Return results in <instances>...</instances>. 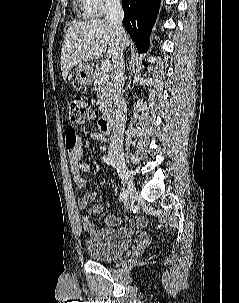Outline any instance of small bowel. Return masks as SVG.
<instances>
[{"instance_id": "small-bowel-1", "label": "small bowel", "mask_w": 239, "mask_h": 303, "mask_svg": "<svg viewBox=\"0 0 239 303\" xmlns=\"http://www.w3.org/2000/svg\"><path fill=\"white\" fill-rule=\"evenodd\" d=\"M94 118L95 113L90 112L87 119L93 120ZM81 124L82 122L77 123V125ZM90 136L97 141H106V138L100 133L92 132ZM65 148L72 179L79 189H83L87 186V180L82 176V173L89 172L90 165L82 161L84 144L82 137L77 134L75 126L66 130ZM97 196L98 193L96 191H89L83 194L77 201L78 207L84 210L82 219L83 228L92 240L110 241L114 238L130 236L135 230L146 226V220L140 216H132L123 220L117 216L108 215L104 218L106 226L98 228L91 218L103 212V205L95 204L89 207Z\"/></svg>"}]
</instances>
